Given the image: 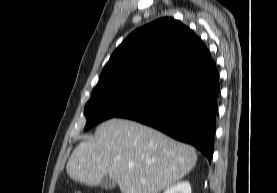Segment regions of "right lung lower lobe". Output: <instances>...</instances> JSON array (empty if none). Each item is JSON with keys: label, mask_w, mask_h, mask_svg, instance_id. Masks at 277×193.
Here are the masks:
<instances>
[{"label": "right lung lower lobe", "mask_w": 277, "mask_h": 193, "mask_svg": "<svg viewBox=\"0 0 277 193\" xmlns=\"http://www.w3.org/2000/svg\"><path fill=\"white\" fill-rule=\"evenodd\" d=\"M219 90L218 71L211 59L166 82L117 117L138 121L191 144L211 161Z\"/></svg>", "instance_id": "obj_1"}]
</instances>
